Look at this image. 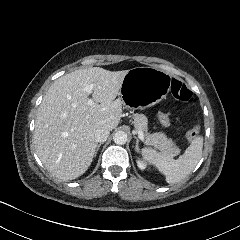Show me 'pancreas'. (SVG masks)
<instances>
[{"label":"pancreas","mask_w":240,"mask_h":240,"mask_svg":"<svg viewBox=\"0 0 240 240\" xmlns=\"http://www.w3.org/2000/svg\"><path fill=\"white\" fill-rule=\"evenodd\" d=\"M134 127L137 131L144 132L146 137V144L153 146L162 153L173 158L180 154L181 150L176 146L171 138H168L166 134L162 132H156L149 134L148 131V119L144 114H134Z\"/></svg>","instance_id":"cf45deb5"}]
</instances>
